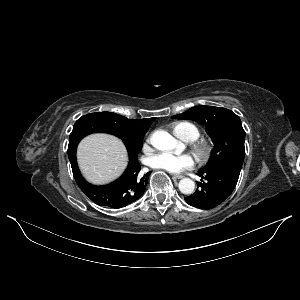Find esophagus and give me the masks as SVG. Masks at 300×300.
Segmentation results:
<instances>
[{
  "label": "esophagus",
  "mask_w": 300,
  "mask_h": 300,
  "mask_svg": "<svg viewBox=\"0 0 300 300\" xmlns=\"http://www.w3.org/2000/svg\"><path fill=\"white\" fill-rule=\"evenodd\" d=\"M174 179H182L183 178V175H180V174H174L172 176Z\"/></svg>",
  "instance_id": "34e87169"
}]
</instances>
